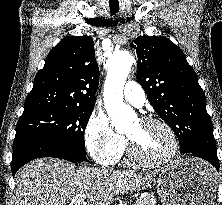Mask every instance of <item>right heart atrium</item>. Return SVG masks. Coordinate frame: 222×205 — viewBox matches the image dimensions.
I'll return each instance as SVG.
<instances>
[{"instance_id": "obj_1", "label": "right heart atrium", "mask_w": 222, "mask_h": 205, "mask_svg": "<svg viewBox=\"0 0 222 205\" xmlns=\"http://www.w3.org/2000/svg\"><path fill=\"white\" fill-rule=\"evenodd\" d=\"M87 149L93 159L101 165H111L125 147V138L110 125L107 117L94 111L84 130Z\"/></svg>"}]
</instances>
